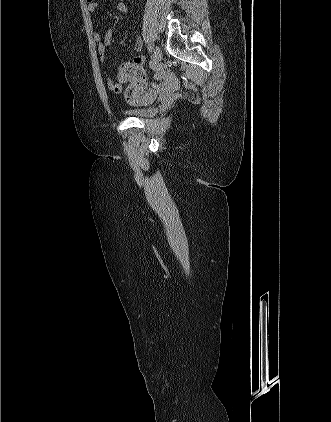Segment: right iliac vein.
Instances as JSON below:
<instances>
[{"label": "right iliac vein", "mask_w": 331, "mask_h": 422, "mask_svg": "<svg viewBox=\"0 0 331 422\" xmlns=\"http://www.w3.org/2000/svg\"><path fill=\"white\" fill-rule=\"evenodd\" d=\"M161 60V51L158 47H155L153 49V53H152V67L156 68L159 65V62Z\"/></svg>", "instance_id": "63e3f726"}]
</instances>
